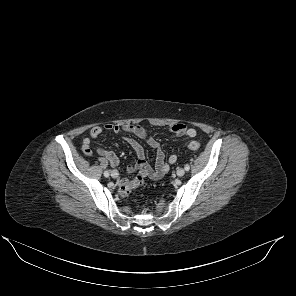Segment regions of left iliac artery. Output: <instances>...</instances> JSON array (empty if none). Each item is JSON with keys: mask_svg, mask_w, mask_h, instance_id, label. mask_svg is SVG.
Returning <instances> with one entry per match:
<instances>
[{"mask_svg": "<svg viewBox=\"0 0 296 296\" xmlns=\"http://www.w3.org/2000/svg\"><path fill=\"white\" fill-rule=\"evenodd\" d=\"M184 168H185L186 171H189L190 166L188 164H186Z\"/></svg>", "mask_w": 296, "mask_h": 296, "instance_id": "obj_1", "label": "left iliac artery"}]
</instances>
